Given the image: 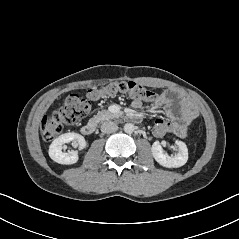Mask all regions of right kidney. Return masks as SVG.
<instances>
[{"label": "right kidney", "instance_id": "ca27d5eb", "mask_svg": "<svg viewBox=\"0 0 239 239\" xmlns=\"http://www.w3.org/2000/svg\"><path fill=\"white\" fill-rule=\"evenodd\" d=\"M71 141L74 142L75 146H79L80 149L86 146V141L82 135L74 132L65 133L56 138L49 146L50 158L59 164L70 165L76 163L79 159L77 151L62 152V149L67 148L65 143Z\"/></svg>", "mask_w": 239, "mask_h": 239}]
</instances>
